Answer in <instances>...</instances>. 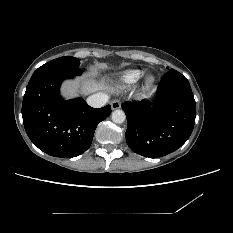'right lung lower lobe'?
<instances>
[{
    "mask_svg": "<svg viewBox=\"0 0 233 233\" xmlns=\"http://www.w3.org/2000/svg\"><path fill=\"white\" fill-rule=\"evenodd\" d=\"M63 71L31 77L23 98L22 117L33 144L54 157H76L91 145L97 125L111 114V106L92 108L83 99L64 100L59 89L73 78Z\"/></svg>",
    "mask_w": 233,
    "mask_h": 233,
    "instance_id": "obj_1",
    "label": "right lung lower lobe"
}]
</instances>
